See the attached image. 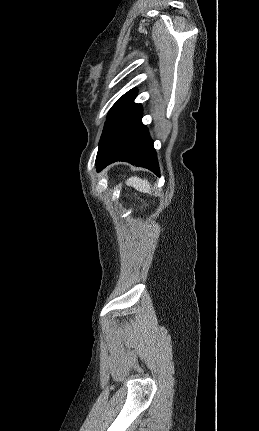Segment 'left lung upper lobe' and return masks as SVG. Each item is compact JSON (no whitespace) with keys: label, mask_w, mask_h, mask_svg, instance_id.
Masks as SVG:
<instances>
[{"label":"left lung upper lobe","mask_w":259,"mask_h":431,"mask_svg":"<svg viewBox=\"0 0 259 431\" xmlns=\"http://www.w3.org/2000/svg\"><path fill=\"white\" fill-rule=\"evenodd\" d=\"M136 89H131L120 97L116 103L110 109L107 120L104 125V129L99 141L100 146L107 140L112 131L118 126V124L132 111H134L140 104L134 103L136 97Z\"/></svg>","instance_id":"5c2ea615"}]
</instances>
